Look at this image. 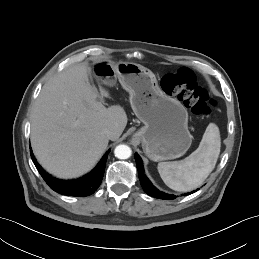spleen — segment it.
Here are the masks:
<instances>
[{
    "mask_svg": "<svg viewBox=\"0 0 259 259\" xmlns=\"http://www.w3.org/2000/svg\"><path fill=\"white\" fill-rule=\"evenodd\" d=\"M220 147L219 128L210 123L194 152L181 161L158 163V172L169 188L175 191H191L202 185L215 168Z\"/></svg>",
    "mask_w": 259,
    "mask_h": 259,
    "instance_id": "3e777b00",
    "label": "spleen"
}]
</instances>
